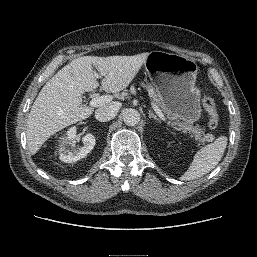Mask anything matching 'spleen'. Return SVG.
Segmentation results:
<instances>
[{"label":"spleen","mask_w":257,"mask_h":257,"mask_svg":"<svg viewBox=\"0 0 257 257\" xmlns=\"http://www.w3.org/2000/svg\"><path fill=\"white\" fill-rule=\"evenodd\" d=\"M227 137L221 136L213 143L206 145L196 152L188 170L180 177L190 181L204 176L219 163L227 147Z\"/></svg>","instance_id":"1"}]
</instances>
